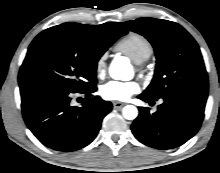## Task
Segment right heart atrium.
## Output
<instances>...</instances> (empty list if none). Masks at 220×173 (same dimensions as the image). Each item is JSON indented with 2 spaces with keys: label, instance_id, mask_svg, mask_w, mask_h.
Returning a JSON list of instances; mask_svg holds the SVG:
<instances>
[{
  "label": "right heart atrium",
  "instance_id": "1",
  "mask_svg": "<svg viewBox=\"0 0 220 173\" xmlns=\"http://www.w3.org/2000/svg\"><path fill=\"white\" fill-rule=\"evenodd\" d=\"M96 74L101 76L105 73L106 70V62H105V55H102L98 58L95 65Z\"/></svg>",
  "mask_w": 220,
  "mask_h": 173
}]
</instances>
